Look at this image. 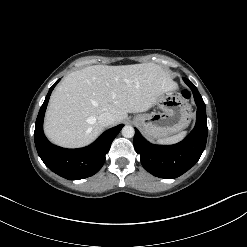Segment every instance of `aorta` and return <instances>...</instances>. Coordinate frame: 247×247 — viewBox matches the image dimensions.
<instances>
[{
    "mask_svg": "<svg viewBox=\"0 0 247 247\" xmlns=\"http://www.w3.org/2000/svg\"><path fill=\"white\" fill-rule=\"evenodd\" d=\"M135 134V130L132 126L126 125L122 128V135L126 138H132Z\"/></svg>",
    "mask_w": 247,
    "mask_h": 247,
    "instance_id": "aorta-1",
    "label": "aorta"
}]
</instances>
